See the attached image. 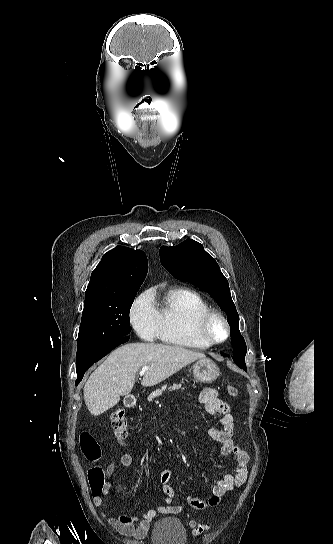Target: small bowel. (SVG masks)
I'll use <instances>...</instances> for the list:
<instances>
[{
  "mask_svg": "<svg viewBox=\"0 0 333 544\" xmlns=\"http://www.w3.org/2000/svg\"><path fill=\"white\" fill-rule=\"evenodd\" d=\"M198 400L206 413L222 415L221 428L211 427L208 430V434L219 444L220 452L223 456H234L236 461L235 470L227 473L216 482L209 497L205 499L195 496L187 497L186 504L189 507L196 510H207L217 506L227 492L234 490L246 482L249 455L234 442V418L230 412L229 404L219 398L217 391L212 388H205L200 392ZM132 464V456L127 453L123 454L106 467V476L110 477L118 466L129 468ZM171 477L172 471L170 469L162 470L160 481L165 495L163 505L155 509H149L140 516L120 514L115 517H108L104 511H101V515L120 534L136 539H143L149 531L151 521L157 515L177 514L182 510V506L174 505L176 493L171 484ZM110 489L111 484L106 482L101 491L93 492V503L97 508L102 506L104 497L109 493Z\"/></svg>",
  "mask_w": 333,
  "mask_h": 544,
  "instance_id": "obj_1",
  "label": "small bowel"
}]
</instances>
